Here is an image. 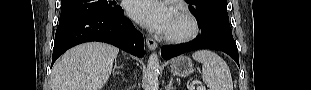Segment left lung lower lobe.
<instances>
[{
  "instance_id": "0a47b994",
  "label": "left lung lower lobe",
  "mask_w": 311,
  "mask_h": 90,
  "mask_svg": "<svg viewBox=\"0 0 311 90\" xmlns=\"http://www.w3.org/2000/svg\"><path fill=\"white\" fill-rule=\"evenodd\" d=\"M196 49H214L230 55L239 65L238 49L232 36L212 32L201 34L194 42L177 46H163L161 55L165 60Z\"/></svg>"
}]
</instances>
